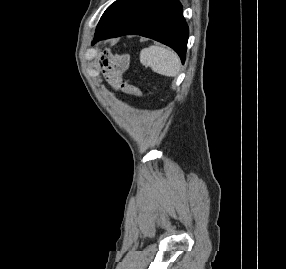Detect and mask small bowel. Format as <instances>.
I'll return each mask as SVG.
<instances>
[{"label":"small bowel","mask_w":286,"mask_h":269,"mask_svg":"<svg viewBox=\"0 0 286 269\" xmlns=\"http://www.w3.org/2000/svg\"><path fill=\"white\" fill-rule=\"evenodd\" d=\"M103 75L113 85L118 86L121 82L123 69L117 66L113 61L108 58V55H103L100 58ZM129 90V88L126 87Z\"/></svg>","instance_id":"small-bowel-1"}]
</instances>
